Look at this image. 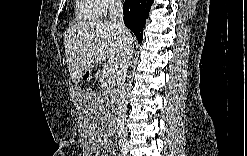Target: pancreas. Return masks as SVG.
I'll return each instance as SVG.
<instances>
[{
  "mask_svg": "<svg viewBox=\"0 0 247 156\" xmlns=\"http://www.w3.org/2000/svg\"><path fill=\"white\" fill-rule=\"evenodd\" d=\"M115 75L111 73H107L104 70H101L98 73V80L103 84L104 89L107 94H111L115 87Z\"/></svg>",
  "mask_w": 247,
  "mask_h": 156,
  "instance_id": "1",
  "label": "pancreas"
}]
</instances>
